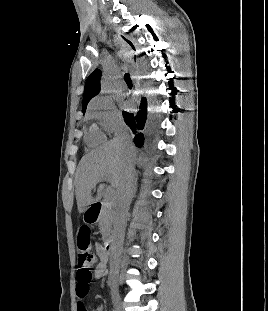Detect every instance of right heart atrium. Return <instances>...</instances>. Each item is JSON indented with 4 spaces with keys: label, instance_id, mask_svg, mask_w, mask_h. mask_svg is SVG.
Wrapping results in <instances>:
<instances>
[{
    "label": "right heart atrium",
    "instance_id": "1",
    "mask_svg": "<svg viewBox=\"0 0 268 311\" xmlns=\"http://www.w3.org/2000/svg\"><path fill=\"white\" fill-rule=\"evenodd\" d=\"M89 116L95 119L108 134L116 133L122 126L120 113L106 96L95 98L89 106Z\"/></svg>",
    "mask_w": 268,
    "mask_h": 311
}]
</instances>
